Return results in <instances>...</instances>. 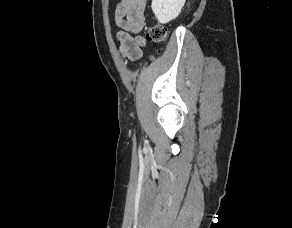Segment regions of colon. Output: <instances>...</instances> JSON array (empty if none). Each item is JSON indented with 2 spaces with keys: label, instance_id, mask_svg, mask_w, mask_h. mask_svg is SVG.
<instances>
[{
  "label": "colon",
  "instance_id": "1",
  "mask_svg": "<svg viewBox=\"0 0 292 228\" xmlns=\"http://www.w3.org/2000/svg\"><path fill=\"white\" fill-rule=\"evenodd\" d=\"M167 29L162 25H154L147 29L146 38L153 43H163L167 39Z\"/></svg>",
  "mask_w": 292,
  "mask_h": 228
}]
</instances>
